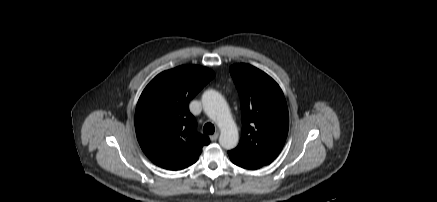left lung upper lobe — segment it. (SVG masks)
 I'll return each instance as SVG.
<instances>
[{
	"instance_id": "1",
	"label": "left lung upper lobe",
	"mask_w": 437,
	"mask_h": 202,
	"mask_svg": "<svg viewBox=\"0 0 437 202\" xmlns=\"http://www.w3.org/2000/svg\"><path fill=\"white\" fill-rule=\"evenodd\" d=\"M241 98L242 133L239 145L228 153L260 168L270 164L287 138L289 116L279 85L249 64L230 67Z\"/></svg>"
}]
</instances>
